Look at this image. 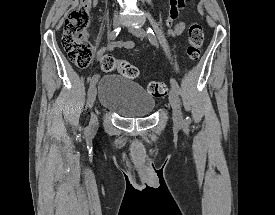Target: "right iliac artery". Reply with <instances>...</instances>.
Wrapping results in <instances>:
<instances>
[{
  "mask_svg": "<svg viewBox=\"0 0 275 215\" xmlns=\"http://www.w3.org/2000/svg\"><path fill=\"white\" fill-rule=\"evenodd\" d=\"M120 30H121L120 27L114 29V30L109 34V39H111V40L115 39V38L118 36ZM97 80H98V74H95V75L92 77L91 81H90V86H92L94 83H96Z\"/></svg>",
  "mask_w": 275,
  "mask_h": 215,
  "instance_id": "right-iliac-artery-1",
  "label": "right iliac artery"
}]
</instances>
